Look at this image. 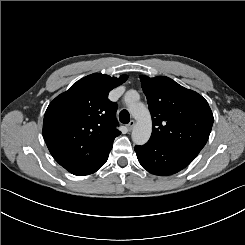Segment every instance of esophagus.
<instances>
[{
    "label": "esophagus",
    "instance_id": "34e87169",
    "mask_svg": "<svg viewBox=\"0 0 245 245\" xmlns=\"http://www.w3.org/2000/svg\"><path fill=\"white\" fill-rule=\"evenodd\" d=\"M134 125H135V121H134V120H131V121L126 125L128 131H131V130L133 129Z\"/></svg>",
    "mask_w": 245,
    "mask_h": 245
}]
</instances>
